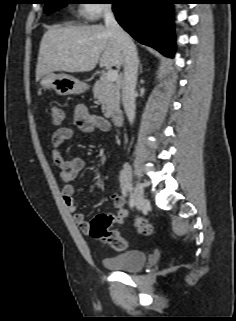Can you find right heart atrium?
Returning a JSON list of instances; mask_svg holds the SVG:
<instances>
[{
	"label": "right heart atrium",
	"mask_w": 236,
	"mask_h": 321,
	"mask_svg": "<svg viewBox=\"0 0 236 321\" xmlns=\"http://www.w3.org/2000/svg\"><path fill=\"white\" fill-rule=\"evenodd\" d=\"M111 10V5L103 0H86L80 8L81 16L88 21L98 20Z\"/></svg>",
	"instance_id": "right-heart-atrium-1"
}]
</instances>
